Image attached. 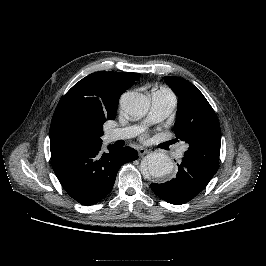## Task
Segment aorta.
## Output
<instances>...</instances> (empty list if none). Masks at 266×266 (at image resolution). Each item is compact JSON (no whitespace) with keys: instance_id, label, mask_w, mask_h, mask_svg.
<instances>
[{"instance_id":"aorta-1","label":"aorta","mask_w":266,"mask_h":266,"mask_svg":"<svg viewBox=\"0 0 266 266\" xmlns=\"http://www.w3.org/2000/svg\"><path fill=\"white\" fill-rule=\"evenodd\" d=\"M121 107L124 112L132 117H142L149 109V98L141 93L129 91L121 97ZM173 170V162L168 155L162 152H154L147 155L142 165L144 174L154 178H161L170 174Z\"/></svg>"}]
</instances>
